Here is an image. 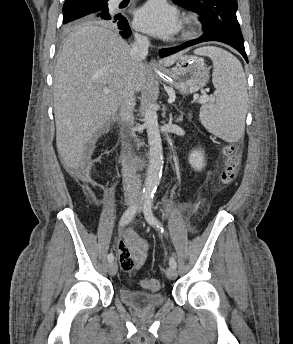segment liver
<instances>
[{"label": "liver", "mask_w": 293, "mask_h": 344, "mask_svg": "<svg viewBox=\"0 0 293 344\" xmlns=\"http://www.w3.org/2000/svg\"><path fill=\"white\" fill-rule=\"evenodd\" d=\"M131 47L114 31L85 25L64 42L54 70L56 146L66 168L80 164L86 144L119 108ZM183 52L162 60L172 65ZM147 83L144 63L135 75V92ZM109 93H104V90Z\"/></svg>", "instance_id": "1"}]
</instances>
